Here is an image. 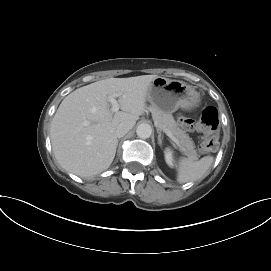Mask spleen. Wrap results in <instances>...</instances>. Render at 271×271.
<instances>
[{
    "instance_id": "spleen-1",
    "label": "spleen",
    "mask_w": 271,
    "mask_h": 271,
    "mask_svg": "<svg viewBox=\"0 0 271 271\" xmlns=\"http://www.w3.org/2000/svg\"><path fill=\"white\" fill-rule=\"evenodd\" d=\"M213 161V156H205L198 161L190 157L180 158L177 167V181L179 183H187L202 178L211 167Z\"/></svg>"
}]
</instances>
